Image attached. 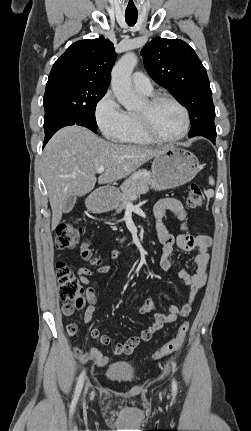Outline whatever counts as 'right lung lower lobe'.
Listing matches in <instances>:
<instances>
[{"instance_id":"right-lung-lower-lobe-1","label":"right lung lower lobe","mask_w":251,"mask_h":431,"mask_svg":"<svg viewBox=\"0 0 251 431\" xmlns=\"http://www.w3.org/2000/svg\"><path fill=\"white\" fill-rule=\"evenodd\" d=\"M70 125L84 126L90 129L91 131L97 133V128L91 126L85 121L78 120V119H71V118L62 119V120H59L58 122H55L53 125L45 128V139H44L43 147L49 141V139L54 135L55 132H57L62 127L70 126Z\"/></svg>"}]
</instances>
